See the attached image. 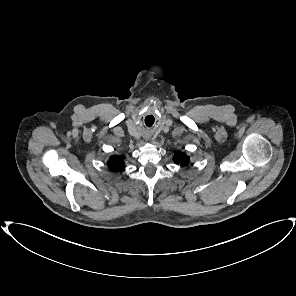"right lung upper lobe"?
Listing matches in <instances>:
<instances>
[{
  "mask_svg": "<svg viewBox=\"0 0 296 296\" xmlns=\"http://www.w3.org/2000/svg\"><path fill=\"white\" fill-rule=\"evenodd\" d=\"M124 157L121 156H113L110 158L108 161V167L112 171H119V170H124Z\"/></svg>",
  "mask_w": 296,
  "mask_h": 296,
  "instance_id": "1",
  "label": "right lung upper lobe"
}]
</instances>
